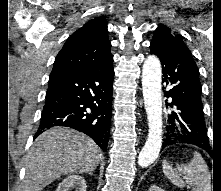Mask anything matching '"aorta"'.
Returning <instances> with one entry per match:
<instances>
[{
	"mask_svg": "<svg viewBox=\"0 0 221 191\" xmlns=\"http://www.w3.org/2000/svg\"><path fill=\"white\" fill-rule=\"evenodd\" d=\"M162 69L157 56L149 55L143 64L142 89L148 120V137L138 156V164L147 167L159 155L162 146Z\"/></svg>",
	"mask_w": 221,
	"mask_h": 191,
	"instance_id": "1",
	"label": "aorta"
}]
</instances>
